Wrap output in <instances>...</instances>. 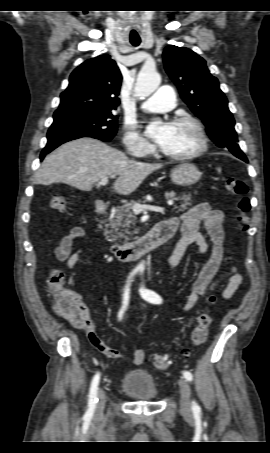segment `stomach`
<instances>
[{
    "label": "stomach",
    "mask_w": 270,
    "mask_h": 453,
    "mask_svg": "<svg viewBox=\"0 0 270 453\" xmlns=\"http://www.w3.org/2000/svg\"><path fill=\"white\" fill-rule=\"evenodd\" d=\"M201 172L191 163H183L172 169L170 177L174 184L179 186H191L201 179Z\"/></svg>",
    "instance_id": "0dacf381"
}]
</instances>
